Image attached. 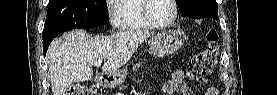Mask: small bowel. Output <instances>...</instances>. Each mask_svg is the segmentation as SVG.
<instances>
[{
  "mask_svg": "<svg viewBox=\"0 0 277 95\" xmlns=\"http://www.w3.org/2000/svg\"><path fill=\"white\" fill-rule=\"evenodd\" d=\"M189 79L196 84L204 85L209 82L205 77L195 76L183 69H176L172 72V77L168 80L161 88L162 95L168 94H182V95H193V91L186 84V80ZM202 95H217L219 91L214 87H204Z\"/></svg>",
  "mask_w": 277,
  "mask_h": 95,
  "instance_id": "c3829d8e",
  "label": "small bowel"
}]
</instances>
